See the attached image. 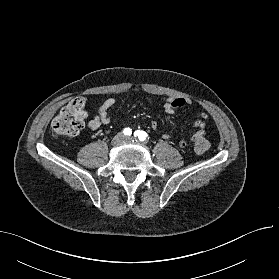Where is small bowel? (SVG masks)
<instances>
[{"mask_svg": "<svg viewBox=\"0 0 279 279\" xmlns=\"http://www.w3.org/2000/svg\"><path fill=\"white\" fill-rule=\"evenodd\" d=\"M115 100L112 98H109L105 100L100 107L97 110V113L94 115V117L89 121L88 127L95 131L98 128H100L104 124H109L112 121H114L109 116V110L114 106ZM191 104V101L186 98H179V97H169L164 100L163 102V110L166 114H173L177 110L184 108ZM208 119V115L204 112L200 114V117L194 122L193 126L198 129V131L189 139H183L179 142L180 147L186 148L190 146L192 143L195 142V140L199 137H202L204 135V128L206 125V121ZM157 122L152 121L151 127L153 129L157 128ZM169 138V136H167Z\"/></svg>", "mask_w": 279, "mask_h": 279, "instance_id": "small-bowel-1", "label": "small bowel"}]
</instances>
